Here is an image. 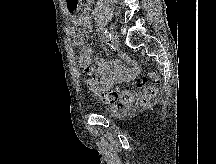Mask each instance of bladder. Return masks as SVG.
<instances>
[{
    "label": "bladder",
    "mask_w": 216,
    "mask_h": 164,
    "mask_svg": "<svg viewBox=\"0 0 216 164\" xmlns=\"http://www.w3.org/2000/svg\"><path fill=\"white\" fill-rule=\"evenodd\" d=\"M128 110H129L128 106H122V107H118L116 109H111L109 112V116L111 118H119V117L127 114Z\"/></svg>",
    "instance_id": "bladder-1"
}]
</instances>
